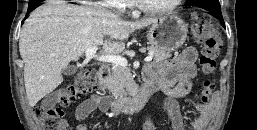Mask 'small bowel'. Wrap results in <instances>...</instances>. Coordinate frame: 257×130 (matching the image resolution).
Listing matches in <instances>:
<instances>
[{"label":"small bowel","instance_id":"c3829d8e","mask_svg":"<svg viewBox=\"0 0 257 130\" xmlns=\"http://www.w3.org/2000/svg\"><path fill=\"white\" fill-rule=\"evenodd\" d=\"M197 52L194 48L185 49L180 55L171 60L161 61L148 66L144 72L145 79H152L158 83L159 88L168 96L160 106L159 110L169 117L172 130H184L183 119L176 98L189 94L192 88V80L196 77L197 70L195 61ZM54 97L47 99L53 103ZM109 98L102 94H94L81 102L75 110V120L80 122L87 118L93 111H105L108 107ZM196 115L191 121L192 130H204L207 126L212 112L211 104H196ZM152 117H148L144 123L143 130H155ZM76 130H87L84 124H78Z\"/></svg>","mask_w":257,"mask_h":130}]
</instances>
